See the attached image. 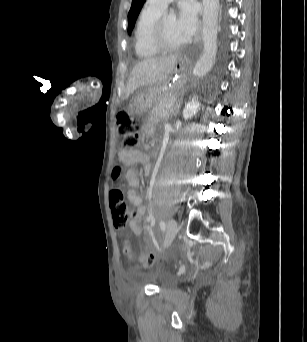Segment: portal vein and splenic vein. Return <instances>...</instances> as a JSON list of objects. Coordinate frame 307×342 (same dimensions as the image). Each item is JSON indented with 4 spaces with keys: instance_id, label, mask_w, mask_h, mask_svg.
Segmentation results:
<instances>
[{
    "instance_id": "portal-vein-and-splenic-vein-1",
    "label": "portal vein and splenic vein",
    "mask_w": 307,
    "mask_h": 342,
    "mask_svg": "<svg viewBox=\"0 0 307 342\" xmlns=\"http://www.w3.org/2000/svg\"><path fill=\"white\" fill-rule=\"evenodd\" d=\"M172 107H173V106L171 105V106L165 107L164 109L167 110V111H171V110L173 109Z\"/></svg>"
}]
</instances>
